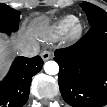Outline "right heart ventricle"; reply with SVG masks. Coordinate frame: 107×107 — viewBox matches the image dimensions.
Segmentation results:
<instances>
[{
    "instance_id": "obj_1",
    "label": "right heart ventricle",
    "mask_w": 107,
    "mask_h": 107,
    "mask_svg": "<svg viewBox=\"0 0 107 107\" xmlns=\"http://www.w3.org/2000/svg\"><path fill=\"white\" fill-rule=\"evenodd\" d=\"M76 18L72 15H68L63 17L62 19L58 20L50 29L47 39L48 40H57L64 36L70 25Z\"/></svg>"
}]
</instances>
